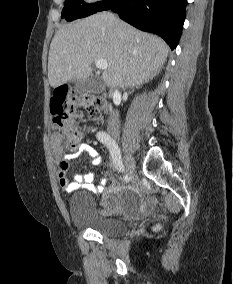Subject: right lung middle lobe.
I'll return each mask as SVG.
<instances>
[{
    "label": "right lung middle lobe",
    "instance_id": "1",
    "mask_svg": "<svg viewBox=\"0 0 233 284\" xmlns=\"http://www.w3.org/2000/svg\"><path fill=\"white\" fill-rule=\"evenodd\" d=\"M106 0L96 2L94 4L84 3L83 0H65V7L62 10V16L67 21L86 17L97 12L98 8Z\"/></svg>",
    "mask_w": 233,
    "mask_h": 284
}]
</instances>
